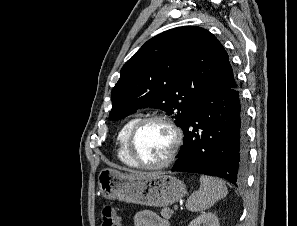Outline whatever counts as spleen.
<instances>
[{
    "label": "spleen",
    "instance_id": "spleen-1",
    "mask_svg": "<svg viewBox=\"0 0 297 226\" xmlns=\"http://www.w3.org/2000/svg\"><path fill=\"white\" fill-rule=\"evenodd\" d=\"M199 181V190L192 193L186 202V208L191 212L209 209L228 193L227 187L218 178L202 175Z\"/></svg>",
    "mask_w": 297,
    "mask_h": 226
}]
</instances>
